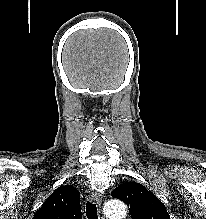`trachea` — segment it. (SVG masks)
Returning <instances> with one entry per match:
<instances>
[{
  "label": "trachea",
  "mask_w": 206,
  "mask_h": 219,
  "mask_svg": "<svg viewBox=\"0 0 206 219\" xmlns=\"http://www.w3.org/2000/svg\"><path fill=\"white\" fill-rule=\"evenodd\" d=\"M86 215L88 219H98L96 204L87 201L86 204Z\"/></svg>",
  "instance_id": "1"
}]
</instances>
